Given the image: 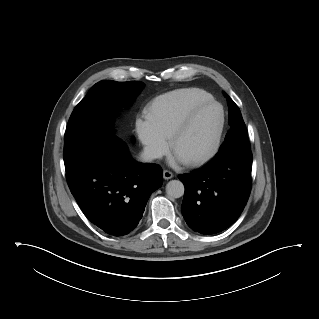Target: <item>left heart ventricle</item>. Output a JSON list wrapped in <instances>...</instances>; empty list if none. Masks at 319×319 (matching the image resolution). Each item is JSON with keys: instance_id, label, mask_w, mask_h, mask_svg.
<instances>
[{"instance_id": "left-heart-ventricle-1", "label": "left heart ventricle", "mask_w": 319, "mask_h": 319, "mask_svg": "<svg viewBox=\"0 0 319 319\" xmlns=\"http://www.w3.org/2000/svg\"><path fill=\"white\" fill-rule=\"evenodd\" d=\"M219 125V107L210 105L203 108L188 131L176 142L174 153L183 161L204 156L214 146Z\"/></svg>"}]
</instances>
